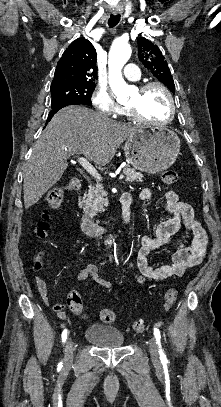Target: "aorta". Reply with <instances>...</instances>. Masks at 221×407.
<instances>
[{"mask_svg": "<svg viewBox=\"0 0 221 407\" xmlns=\"http://www.w3.org/2000/svg\"><path fill=\"white\" fill-rule=\"evenodd\" d=\"M131 56V47L127 42H116L112 45L109 58V85L116 95L117 100L126 99L132 92L133 88L123 79L121 70Z\"/></svg>", "mask_w": 221, "mask_h": 407, "instance_id": "obj_1", "label": "aorta"}]
</instances>
